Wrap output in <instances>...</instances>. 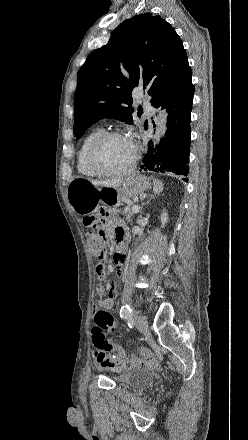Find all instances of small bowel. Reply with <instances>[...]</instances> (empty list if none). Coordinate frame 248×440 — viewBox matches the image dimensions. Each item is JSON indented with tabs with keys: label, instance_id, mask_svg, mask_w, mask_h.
<instances>
[{
	"label": "small bowel",
	"instance_id": "c3829d8e",
	"mask_svg": "<svg viewBox=\"0 0 248 440\" xmlns=\"http://www.w3.org/2000/svg\"><path fill=\"white\" fill-rule=\"evenodd\" d=\"M104 224L106 227L112 232L113 237L117 241L118 244H125L126 245V238H125V231L124 226L122 222L117 219L112 214H109L104 221ZM115 263L117 265L116 270L118 273H121L123 269H125L124 260L121 256L117 255L115 256ZM108 269V261L106 259H99L97 261V273L100 276L101 279H106L105 271ZM107 287H109V291L107 293V297L98 300L95 303V309H103V310H109L113 306L114 299L116 297L117 292L121 293L125 291V286L118 284L116 280L109 279L106 282ZM98 294L100 296H103L105 294L104 284H99L98 286ZM97 361V359H96ZM151 361V356L149 353H145V358L141 359L137 356H133L129 363L131 365H144ZM97 365L99 368L103 369L106 368L103 366L100 362L97 361Z\"/></svg>",
	"mask_w": 248,
	"mask_h": 440
}]
</instances>
